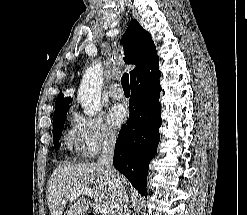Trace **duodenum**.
Wrapping results in <instances>:
<instances>
[{
  "mask_svg": "<svg viewBox=\"0 0 247 215\" xmlns=\"http://www.w3.org/2000/svg\"><path fill=\"white\" fill-rule=\"evenodd\" d=\"M87 215H95L94 213H88Z\"/></svg>",
  "mask_w": 247,
  "mask_h": 215,
  "instance_id": "duodenum-1",
  "label": "duodenum"
}]
</instances>
